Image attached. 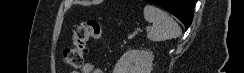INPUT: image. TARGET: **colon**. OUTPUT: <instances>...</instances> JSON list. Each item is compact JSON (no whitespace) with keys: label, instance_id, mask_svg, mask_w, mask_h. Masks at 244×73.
<instances>
[{"label":"colon","instance_id":"5ec220e1","mask_svg":"<svg viewBox=\"0 0 244 73\" xmlns=\"http://www.w3.org/2000/svg\"><path fill=\"white\" fill-rule=\"evenodd\" d=\"M103 36V27L97 20H86L74 26L72 44L63 53L66 64L78 70L84 64V56L90 40H99Z\"/></svg>","mask_w":244,"mask_h":73}]
</instances>
